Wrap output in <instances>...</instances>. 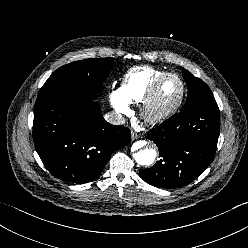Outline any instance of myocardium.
<instances>
[{
	"mask_svg": "<svg viewBox=\"0 0 248 248\" xmlns=\"http://www.w3.org/2000/svg\"><path fill=\"white\" fill-rule=\"evenodd\" d=\"M176 77L181 84V92L178 99L168 105V106H159L157 104V95L162 83L168 77ZM186 95V84L183 78L174 72H166L161 75L151 86L149 92L147 93L145 99L142 102L141 115L148 123L155 124L159 123L170 116H172L182 105Z\"/></svg>",
	"mask_w": 248,
	"mask_h": 248,
	"instance_id": "f54148a6",
	"label": "myocardium"
}]
</instances>
